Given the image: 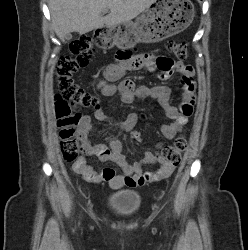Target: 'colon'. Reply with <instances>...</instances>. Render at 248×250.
<instances>
[{"mask_svg":"<svg viewBox=\"0 0 248 250\" xmlns=\"http://www.w3.org/2000/svg\"><path fill=\"white\" fill-rule=\"evenodd\" d=\"M95 39L89 35H83L71 42L69 53L62 56L58 62L56 77L60 94L56 98L55 113L61 140V152L65 162L78 164L82 159L78 142L77 125L80 121L79 109H96L99 106V99L84 90L75 80L74 75L79 69L85 67L94 56ZM169 52L179 59L188 56V45L185 42L168 41L166 44ZM130 55L122 52L118 55L123 60ZM192 108H186L190 114ZM135 139L140 134L133 133ZM187 148L186 138L181 135L176 138L173 144L161 147V155L171 166H177L183 152Z\"/></svg>","mask_w":248,"mask_h":250,"instance_id":"obj_1","label":"colon"}]
</instances>
